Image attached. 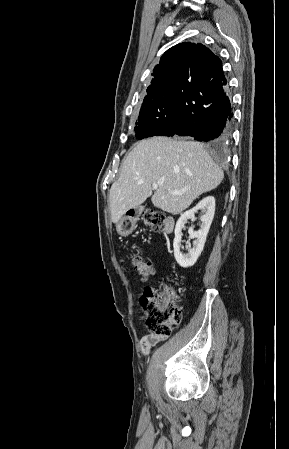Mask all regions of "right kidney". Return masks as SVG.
<instances>
[{"label": "right kidney", "instance_id": "right-kidney-1", "mask_svg": "<svg viewBox=\"0 0 289 449\" xmlns=\"http://www.w3.org/2000/svg\"><path fill=\"white\" fill-rule=\"evenodd\" d=\"M199 210L202 213V216L200 217L201 220L200 229L198 231H194L192 227L189 229L190 237L195 240L193 242V247L188 249V253L183 254L181 252L182 229L184 228L188 219L195 218V213H197ZM214 213H215V198L213 196H207L203 198L192 209L181 214L180 218L176 223L175 238L173 241L174 257L181 267L188 268L196 263L198 257L203 251L206 237L214 217Z\"/></svg>", "mask_w": 289, "mask_h": 449}]
</instances>
